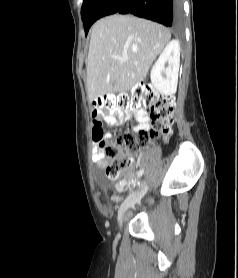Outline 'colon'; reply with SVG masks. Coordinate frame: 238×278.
<instances>
[{"instance_id": "5ec220e1", "label": "colon", "mask_w": 238, "mask_h": 278, "mask_svg": "<svg viewBox=\"0 0 238 278\" xmlns=\"http://www.w3.org/2000/svg\"><path fill=\"white\" fill-rule=\"evenodd\" d=\"M115 108L129 109L135 112L149 113L151 128L138 130L135 134L127 133L113 142L102 140L104 136L101 115ZM175 105L174 99L158 94L152 87L139 84L130 94L105 95L94 103L93 139L101 140L103 157L101 167L110 178H117L129 165V153L144 148L150 138L167 139L173 130Z\"/></svg>"}]
</instances>
